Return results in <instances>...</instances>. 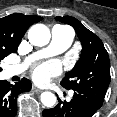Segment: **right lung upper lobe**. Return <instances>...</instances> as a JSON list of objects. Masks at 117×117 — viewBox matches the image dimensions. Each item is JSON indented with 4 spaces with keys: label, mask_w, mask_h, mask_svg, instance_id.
Wrapping results in <instances>:
<instances>
[{
    "label": "right lung upper lobe",
    "mask_w": 117,
    "mask_h": 117,
    "mask_svg": "<svg viewBox=\"0 0 117 117\" xmlns=\"http://www.w3.org/2000/svg\"><path fill=\"white\" fill-rule=\"evenodd\" d=\"M42 20L40 16L14 13L0 19V46L17 49L27 29Z\"/></svg>",
    "instance_id": "right-lung-upper-lobe-1"
}]
</instances>
